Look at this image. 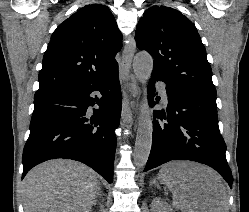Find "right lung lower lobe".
<instances>
[{"label":"right lung lower lobe","mask_w":249,"mask_h":212,"mask_svg":"<svg viewBox=\"0 0 249 212\" xmlns=\"http://www.w3.org/2000/svg\"><path fill=\"white\" fill-rule=\"evenodd\" d=\"M99 91L101 97L92 94ZM98 105L90 117L89 106ZM118 69L94 84L34 97L30 135L23 151V174L55 158L80 161L113 182L114 130L121 114Z\"/></svg>","instance_id":"right-lung-lower-lobe-1"}]
</instances>
